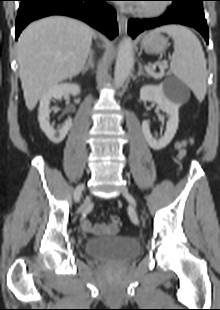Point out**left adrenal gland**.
Masks as SVG:
<instances>
[{"instance_id":"left-adrenal-gland-1","label":"left adrenal gland","mask_w":220,"mask_h":310,"mask_svg":"<svg viewBox=\"0 0 220 310\" xmlns=\"http://www.w3.org/2000/svg\"><path fill=\"white\" fill-rule=\"evenodd\" d=\"M142 75L148 77V75L143 71L142 64H139L137 76L140 77Z\"/></svg>"}]
</instances>
